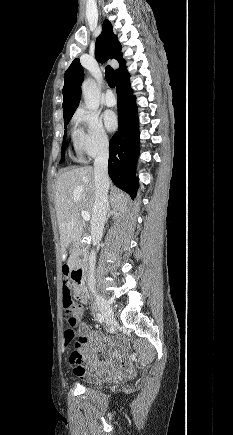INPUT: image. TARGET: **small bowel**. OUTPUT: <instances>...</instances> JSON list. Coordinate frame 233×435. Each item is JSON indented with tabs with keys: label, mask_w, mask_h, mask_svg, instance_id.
Listing matches in <instances>:
<instances>
[{
	"label": "small bowel",
	"mask_w": 233,
	"mask_h": 435,
	"mask_svg": "<svg viewBox=\"0 0 233 435\" xmlns=\"http://www.w3.org/2000/svg\"><path fill=\"white\" fill-rule=\"evenodd\" d=\"M62 292L63 296H70V283L63 281ZM77 309L80 314L82 308L77 306ZM79 330L83 335L89 336L92 342L88 343L83 340L79 344L78 350L85 364H73L75 365L76 374L88 381L104 380L107 374H114L117 370L125 378L131 377L134 374V365L121 361L120 351L117 347L109 343H100L98 341V334L92 331L85 323L80 324ZM97 351L103 353V359L98 357Z\"/></svg>",
	"instance_id": "small-bowel-1"
}]
</instances>
